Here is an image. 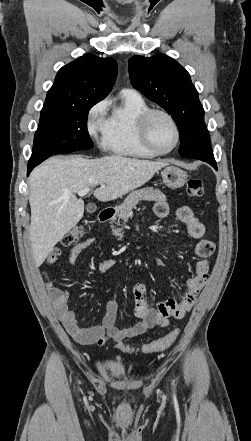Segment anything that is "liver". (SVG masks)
Returning <instances> with one entry per match:
<instances>
[{
    "mask_svg": "<svg viewBox=\"0 0 251 441\" xmlns=\"http://www.w3.org/2000/svg\"><path fill=\"white\" fill-rule=\"evenodd\" d=\"M168 161H149L120 155L87 159L82 156L52 157L30 176V241L36 266L63 239L84 214V201L75 193L98 188L94 196L115 200L148 182Z\"/></svg>",
    "mask_w": 251,
    "mask_h": 441,
    "instance_id": "liver-1",
    "label": "liver"
}]
</instances>
